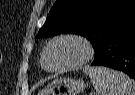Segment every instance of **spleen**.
<instances>
[{"label": "spleen", "mask_w": 135, "mask_h": 95, "mask_svg": "<svg viewBox=\"0 0 135 95\" xmlns=\"http://www.w3.org/2000/svg\"><path fill=\"white\" fill-rule=\"evenodd\" d=\"M97 95H135V81L122 72L105 67H83Z\"/></svg>", "instance_id": "spleen-1"}]
</instances>
